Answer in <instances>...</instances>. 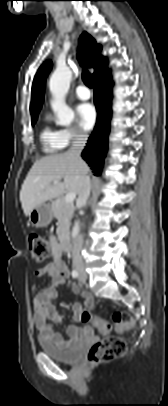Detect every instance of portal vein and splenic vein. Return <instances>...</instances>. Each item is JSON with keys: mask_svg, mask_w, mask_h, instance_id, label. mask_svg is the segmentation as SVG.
<instances>
[{"mask_svg": "<svg viewBox=\"0 0 168 406\" xmlns=\"http://www.w3.org/2000/svg\"><path fill=\"white\" fill-rule=\"evenodd\" d=\"M54 183H57V182H54ZM75 198H76L75 193H68V194H66L64 200H65L66 203H72L75 200Z\"/></svg>", "mask_w": 168, "mask_h": 406, "instance_id": "1", "label": "portal vein and splenic vein"}]
</instances>
